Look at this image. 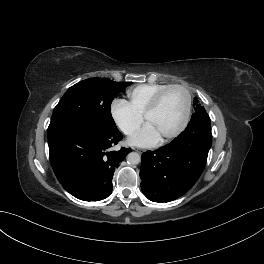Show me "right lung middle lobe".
Listing matches in <instances>:
<instances>
[{"mask_svg": "<svg viewBox=\"0 0 264 264\" xmlns=\"http://www.w3.org/2000/svg\"><path fill=\"white\" fill-rule=\"evenodd\" d=\"M130 84L90 78L70 87L53 111L48 139L69 129L116 127L111 103Z\"/></svg>", "mask_w": 264, "mask_h": 264, "instance_id": "obj_1", "label": "right lung middle lobe"}]
</instances>
